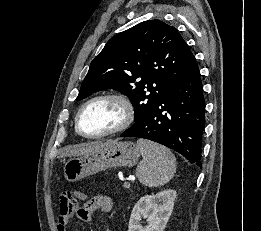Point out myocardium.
I'll return each instance as SVG.
<instances>
[{
	"label": "myocardium",
	"mask_w": 261,
	"mask_h": 231,
	"mask_svg": "<svg viewBox=\"0 0 261 231\" xmlns=\"http://www.w3.org/2000/svg\"><path fill=\"white\" fill-rule=\"evenodd\" d=\"M100 100H114L116 102H118L124 112V118L122 123L103 133H99V134H87L85 132L82 131L81 126H80V118L81 115L83 113V111L92 103L96 102V101H100ZM135 118V108L133 103L131 102V100L126 97L125 95L122 94H118V93H106V94H102V95H98L95 96L91 99H89L88 101H86L78 110L76 117H75V130L76 132L84 137V138H89V139H97V138H103L106 136H110V135H114V134H118L121 133L125 130H127L133 123Z\"/></svg>",
	"instance_id": "obj_1"
}]
</instances>
